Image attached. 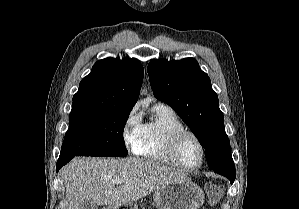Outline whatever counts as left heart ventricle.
<instances>
[{
    "instance_id": "1",
    "label": "left heart ventricle",
    "mask_w": 299,
    "mask_h": 209,
    "mask_svg": "<svg viewBox=\"0 0 299 209\" xmlns=\"http://www.w3.org/2000/svg\"><path fill=\"white\" fill-rule=\"evenodd\" d=\"M179 159L186 166H196L201 161V148L196 140L186 136L179 146Z\"/></svg>"
}]
</instances>
